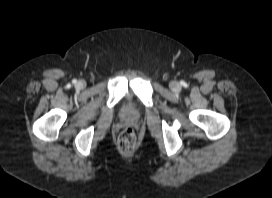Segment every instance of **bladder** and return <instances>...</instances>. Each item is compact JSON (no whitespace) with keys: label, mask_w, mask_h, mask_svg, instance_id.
<instances>
[{"label":"bladder","mask_w":272,"mask_h":198,"mask_svg":"<svg viewBox=\"0 0 272 198\" xmlns=\"http://www.w3.org/2000/svg\"><path fill=\"white\" fill-rule=\"evenodd\" d=\"M122 115L124 118L136 119L140 117L141 112L135 106V104L130 102L124 107Z\"/></svg>","instance_id":"obj_1"}]
</instances>
